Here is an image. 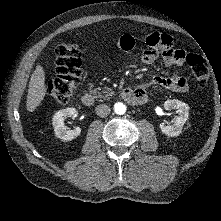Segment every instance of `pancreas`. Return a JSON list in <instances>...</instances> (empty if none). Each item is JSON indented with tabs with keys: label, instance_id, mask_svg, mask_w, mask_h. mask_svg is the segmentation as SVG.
Segmentation results:
<instances>
[{
	"label": "pancreas",
	"instance_id": "1",
	"mask_svg": "<svg viewBox=\"0 0 221 221\" xmlns=\"http://www.w3.org/2000/svg\"><path fill=\"white\" fill-rule=\"evenodd\" d=\"M90 88H91V86H90ZM98 90H101V88L92 89V90H91V93L97 94V97H98V98H103V99H105V98H108L109 96H113V95L115 94V93L112 91V89H111V88H108V87L104 88V89L102 90V93L99 92Z\"/></svg>",
	"mask_w": 221,
	"mask_h": 221
}]
</instances>
